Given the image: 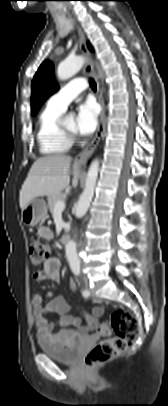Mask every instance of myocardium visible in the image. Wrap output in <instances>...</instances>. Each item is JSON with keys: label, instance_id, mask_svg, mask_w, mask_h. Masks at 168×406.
<instances>
[{"label": "myocardium", "instance_id": "obj_1", "mask_svg": "<svg viewBox=\"0 0 168 406\" xmlns=\"http://www.w3.org/2000/svg\"><path fill=\"white\" fill-rule=\"evenodd\" d=\"M60 128H61V130L64 132V134H65L66 136H68L70 139L75 136V131L67 130V129L64 127V125H60Z\"/></svg>", "mask_w": 168, "mask_h": 406}]
</instances>
